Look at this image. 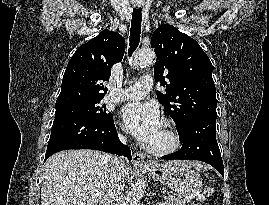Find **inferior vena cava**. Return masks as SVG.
<instances>
[{
  "label": "inferior vena cava",
  "mask_w": 269,
  "mask_h": 205,
  "mask_svg": "<svg viewBox=\"0 0 269 205\" xmlns=\"http://www.w3.org/2000/svg\"><path fill=\"white\" fill-rule=\"evenodd\" d=\"M120 141L126 143V137L119 135ZM124 168L123 158L119 156H111L109 158V179L105 194L100 205H122L124 191Z\"/></svg>",
  "instance_id": "602c4592"
}]
</instances>
